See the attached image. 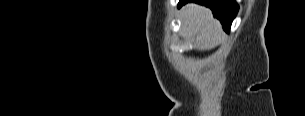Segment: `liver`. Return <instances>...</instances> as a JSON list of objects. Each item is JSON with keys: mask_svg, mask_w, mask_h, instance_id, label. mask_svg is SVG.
<instances>
[{"mask_svg": "<svg viewBox=\"0 0 305 116\" xmlns=\"http://www.w3.org/2000/svg\"><path fill=\"white\" fill-rule=\"evenodd\" d=\"M182 37L194 38L198 50H210L224 40L219 21L213 18L212 11L195 3L185 5L181 10Z\"/></svg>", "mask_w": 305, "mask_h": 116, "instance_id": "obj_1", "label": "liver"}]
</instances>
